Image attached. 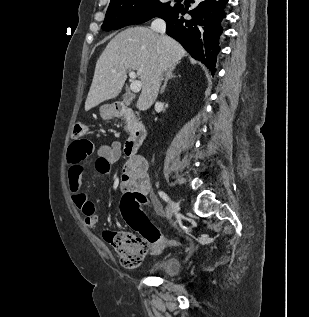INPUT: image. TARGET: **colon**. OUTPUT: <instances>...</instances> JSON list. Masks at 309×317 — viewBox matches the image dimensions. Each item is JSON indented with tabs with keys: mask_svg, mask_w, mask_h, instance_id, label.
I'll return each mask as SVG.
<instances>
[{
	"mask_svg": "<svg viewBox=\"0 0 309 317\" xmlns=\"http://www.w3.org/2000/svg\"><path fill=\"white\" fill-rule=\"evenodd\" d=\"M88 134V126L83 122L74 125L72 142L68 152V161H75L80 158L76 149ZM93 148L92 143L88 144V152ZM146 203V198L140 193H125L121 201V212L134 230L132 232H108L106 238L115 250L121 264L126 268L138 267L150 247H165L178 244L177 241L164 236L156 228L141 210V205Z\"/></svg>",
	"mask_w": 309,
	"mask_h": 317,
	"instance_id": "1",
	"label": "colon"
}]
</instances>
